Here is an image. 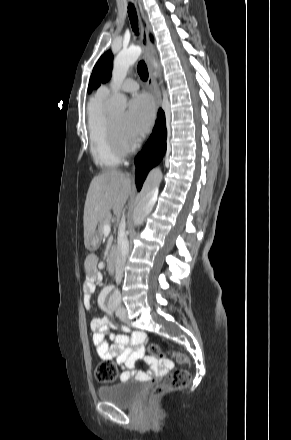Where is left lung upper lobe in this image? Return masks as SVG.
I'll return each instance as SVG.
<instances>
[{"instance_id": "1", "label": "left lung upper lobe", "mask_w": 291, "mask_h": 440, "mask_svg": "<svg viewBox=\"0 0 291 440\" xmlns=\"http://www.w3.org/2000/svg\"><path fill=\"white\" fill-rule=\"evenodd\" d=\"M112 66L113 55L108 51L100 57L92 71L88 87L89 93L93 89H97L101 83H105L111 78Z\"/></svg>"}]
</instances>
